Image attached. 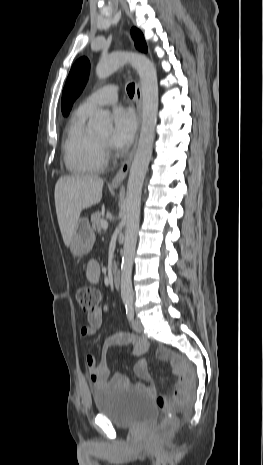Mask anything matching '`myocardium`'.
Listing matches in <instances>:
<instances>
[{"instance_id":"1","label":"myocardium","mask_w":263,"mask_h":465,"mask_svg":"<svg viewBox=\"0 0 263 465\" xmlns=\"http://www.w3.org/2000/svg\"><path fill=\"white\" fill-rule=\"evenodd\" d=\"M98 141H99V143H100L102 146H104V145L106 144L105 141H102V140H100V139H98Z\"/></svg>"}]
</instances>
